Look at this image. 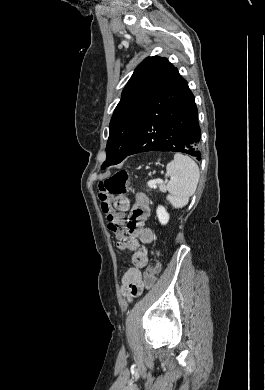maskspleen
I'll return each mask as SVG.
<instances>
[{"instance_id":"3e777b00","label":"spleen","mask_w":265,"mask_h":390,"mask_svg":"<svg viewBox=\"0 0 265 390\" xmlns=\"http://www.w3.org/2000/svg\"><path fill=\"white\" fill-rule=\"evenodd\" d=\"M165 176L171 178L167 184V200L174 208H182L196 190L200 176L197 164L188 156L175 154L166 166Z\"/></svg>"}]
</instances>
